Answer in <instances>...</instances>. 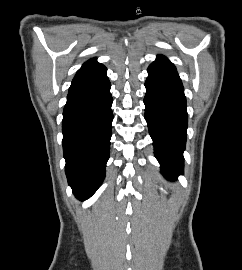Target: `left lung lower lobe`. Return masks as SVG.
Returning a JSON list of instances; mask_svg holds the SVG:
<instances>
[{
	"label": "left lung lower lobe",
	"instance_id": "0a47b994",
	"mask_svg": "<svg viewBox=\"0 0 242 270\" xmlns=\"http://www.w3.org/2000/svg\"><path fill=\"white\" fill-rule=\"evenodd\" d=\"M145 119L162 173L174 180L183 174L187 110L182 82L175 66L164 56L148 68Z\"/></svg>",
	"mask_w": 242,
	"mask_h": 270
}]
</instances>
